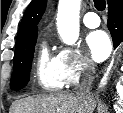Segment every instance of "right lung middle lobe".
Returning <instances> with one entry per match:
<instances>
[{
    "instance_id": "right-lung-middle-lobe-1",
    "label": "right lung middle lobe",
    "mask_w": 123,
    "mask_h": 113,
    "mask_svg": "<svg viewBox=\"0 0 123 113\" xmlns=\"http://www.w3.org/2000/svg\"><path fill=\"white\" fill-rule=\"evenodd\" d=\"M36 40L37 36H34L15 48L14 70L10 81L12 90L24 88L29 81Z\"/></svg>"
}]
</instances>
